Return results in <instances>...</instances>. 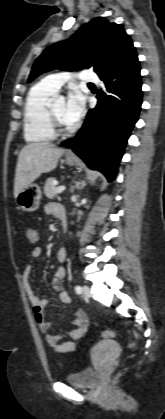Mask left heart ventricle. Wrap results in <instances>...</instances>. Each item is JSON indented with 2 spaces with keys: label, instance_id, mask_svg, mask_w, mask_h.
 Returning <instances> with one entry per match:
<instances>
[{
  "label": "left heart ventricle",
  "instance_id": "b2bd125f",
  "mask_svg": "<svg viewBox=\"0 0 165 419\" xmlns=\"http://www.w3.org/2000/svg\"><path fill=\"white\" fill-rule=\"evenodd\" d=\"M52 108L55 112V114L57 115V117L59 118V120L65 124V125H70L69 122L66 121L65 117H64V111H65V103L64 102H57L54 103L52 105Z\"/></svg>",
  "mask_w": 165,
  "mask_h": 419
}]
</instances>
